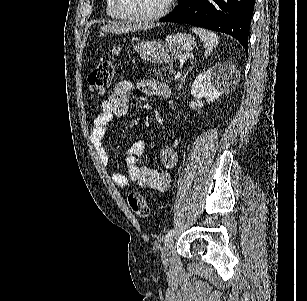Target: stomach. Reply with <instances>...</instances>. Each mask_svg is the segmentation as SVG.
Masks as SVG:
<instances>
[{"label":"stomach","instance_id":"obj_1","mask_svg":"<svg viewBox=\"0 0 307 301\" xmlns=\"http://www.w3.org/2000/svg\"><path fill=\"white\" fill-rule=\"evenodd\" d=\"M195 44V38L191 34L174 32V34H167L164 40H156V38L139 40L133 48L143 60L172 66L177 58L190 52Z\"/></svg>","mask_w":307,"mask_h":301}]
</instances>
